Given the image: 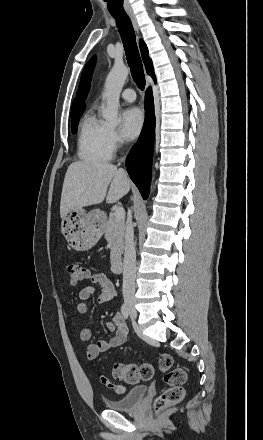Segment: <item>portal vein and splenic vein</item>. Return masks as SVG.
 Segmentation results:
<instances>
[{"label":"portal vein and splenic vein","mask_w":263,"mask_h":440,"mask_svg":"<svg viewBox=\"0 0 263 440\" xmlns=\"http://www.w3.org/2000/svg\"><path fill=\"white\" fill-rule=\"evenodd\" d=\"M114 215L116 219H122L125 217V210L121 207H118L115 209Z\"/></svg>","instance_id":"portal-vein-and-splenic-vein-1"}]
</instances>
